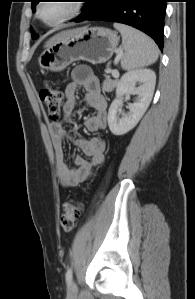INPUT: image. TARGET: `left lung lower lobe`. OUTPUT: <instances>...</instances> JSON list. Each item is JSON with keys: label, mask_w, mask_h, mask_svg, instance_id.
Here are the masks:
<instances>
[{"label": "left lung lower lobe", "mask_w": 195, "mask_h": 299, "mask_svg": "<svg viewBox=\"0 0 195 299\" xmlns=\"http://www.w3.org/2000/svg\"><path fill=\"white\" fill-rule=\"evenodd\" d=\"M167 0H89L76 22L102 20L133 26L149 35L162 50Z\"/></svg>", "instance_id": "1"}]
</instances>
